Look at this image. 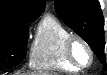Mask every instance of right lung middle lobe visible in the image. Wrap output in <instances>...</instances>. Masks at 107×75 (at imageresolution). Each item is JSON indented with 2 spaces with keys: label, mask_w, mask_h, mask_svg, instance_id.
I'll return each instance as SVG.
<instances>
[{
  "label": "right lung middle lobe",
  "mask_w": 107,
  "mask_h": 75,
  "mask_svg": "<svg viewBox=\"0 0 107 75\" xmlns=\"http://www.w3.org/2000/svg\"><path fill=\"white\" fill-rule=\"evenodd\" d=\"M29 35L27 23H13L0 30V70L20 64L26 55Z\"/></svg>",
  "instance_id": "right-lung-middle-lobe-1"
}]
</instances>
